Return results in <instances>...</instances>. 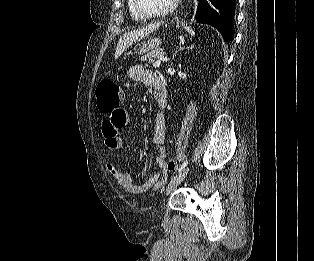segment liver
Returning <instances> with one entry per match:
<instances>
[{
	"instance_id": "liver-1",
	"label": "liver",
	"mask_w": 314,
	"mask_h": 261,
	"mask_svg": "<svg viewBox=\"0 0 314 261\" xmlns=\"http://www.w3.org/2000/svg\"><path fill=\"white\" fill-rule=\"evenodd\" d=\"M159 24H151L142 29L130 31L125 33L118 41L116 51H115V59H117L129 46L135 43L138 40L143 39L152 31L157 29Z\"/></svg>"
}]
</instances>
